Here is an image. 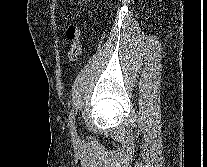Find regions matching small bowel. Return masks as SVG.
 I'll return each instance as SVG.
<instances>
[{
  "instance_id": "small-bowel-1",
  "label": "small bowel",
  "mask_w": 207,
  "mask_h": 167,
  "mask_svg": "<svg viewBox=\"0 0 207 167\" xmlns=\"http://www.w3.org/2000/svg\"><path fill=\"white\" fill-rule=\"evenodd\" d=\"M90 0H69V2H88Z\"/></svg>"
}]
</instances>
